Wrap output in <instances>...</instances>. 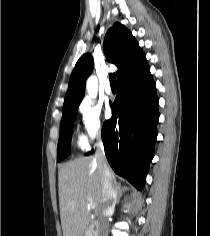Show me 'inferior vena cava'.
<instances>
[{"label":"inferior vena cava","mask_w":210,"mask_h":236,"mask_svg":"<svg viewBox=\"0 0 210 236\" xmlns=\"http://www.w3.org/2000/svg\"><path fill=\"white\" fill-rule=\"evenodd\" d=\"M95 159L102 176V205L99 214L98 236H108V217L113 214L117 191L108 167L102 141L97 144Z\"/></svg>","instance_id":"602c4592"}]
</instances>
